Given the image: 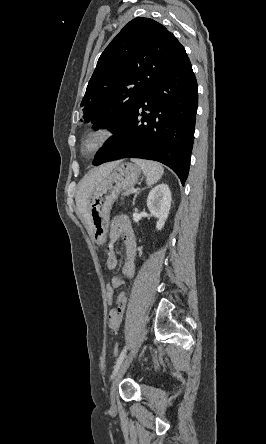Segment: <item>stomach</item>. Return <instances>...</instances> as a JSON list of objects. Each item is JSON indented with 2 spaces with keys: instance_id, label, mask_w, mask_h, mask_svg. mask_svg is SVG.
I'll return each mask as SVG.
<instances>
[{
  "instance_id": "stomach-1",
  "label": "stomach",
  "mask_w": 266,
  "mask_h": 444,
  "mask_svg": "<svg viewBox=\"0 0 266 444\" xmlns=\"http://www.w3.org/2000/svg\"><path fill=\"white\" fill-rule=\"evenodd\" d=\"M141 169L131 162L119 163L91 193L87 202V214L92 236L101 242L107 232L110 209L119 193L133 187Z\"/></svg>"
}]
</instances>
